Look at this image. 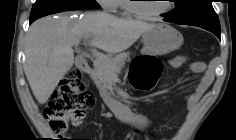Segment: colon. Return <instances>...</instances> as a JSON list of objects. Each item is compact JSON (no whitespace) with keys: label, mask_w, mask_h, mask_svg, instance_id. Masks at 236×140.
Here are the masks:
<instances>
[{"label":"colon","mask_w":236,"mask_h":140,"mask_svg":"<svg viewBox=\"0 0 236 140\" xmlns=\"http://www.w3.org/2000/svg\"><path fill=\"white\" fill-rule=\"evenodd\" d=\"M162 73V64L152 57L136 58L129 70L131 85L140 91H150L156 85ZM93 92L87 89L78 70H70L60 81L44 109L50 129L63 135L69 122L79 124L86 110L95 105Z\"/></svg>","instance_id":"5ec220e1"}]
</instances>
